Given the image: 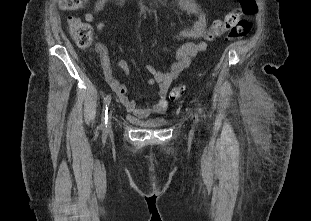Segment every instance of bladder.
I'll return each instance as SVG.
<instances>
[{
  "label": "bladder",
  "mask_w": 311,
  "mask_h": 221,
  "mask_svg": "<svg viewBox=\"0 0 311 221\" xmlns=\"http://www.w3.org/2000/svg\"><path fill=\"white\" fill-rule=\"evenodd\" d=\"M166 124H167V119H150V120L141 122V125H143L144 127H150V128L160 127Z\"/></svg>",
  "instance_id": "31cf9c89"
}]
</instances>
